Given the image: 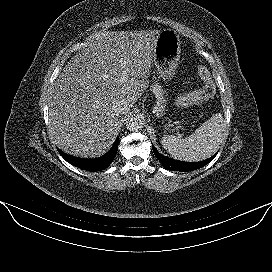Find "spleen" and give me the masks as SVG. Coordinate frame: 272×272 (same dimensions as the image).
Segmentation results:
<instances>
[{"label": "spleen", "instance_id": "3e777b00", "mask_svg": "<svg viewBox=\"0 0 272 272\" xmlns=\"http://www.w3.org/2000/svg\"><path fill=\"white\" fill-rule=\"evenodd\" d=\"M225 129L223 116L215 114L185 139L166 135L162 138L161 144L176 159L189 162L201 161L218 150Z\"/></svg>", "mask_w": 272, "mask_h": 272}]
</instances>
